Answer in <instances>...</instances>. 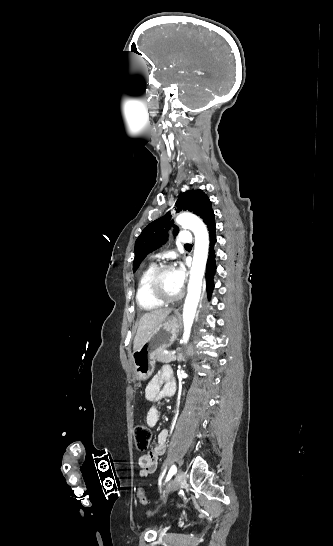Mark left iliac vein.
Wrapping results in <instances>:
<instances>
[{
    "label": "left iliac vein",
    "mask_w": 333,
    "mask_h": 546,
    "mask_svg": "<svg viewBox=\"0 0 333 546\" xmlns=\"http://www.w3.org/2000/svg\"><path fill=\"white\" fill-rule=\"evenodd\" d=\"M185 482H186V473L184 471H180L176 479L167 484L166 491L171 492L174 490H178L180 487H182L185 484Z\"/></svg>",
    "instance_id": "obj_1"
}]
</instances>
